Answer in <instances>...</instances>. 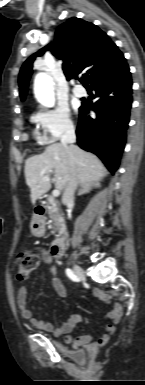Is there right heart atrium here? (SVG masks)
<instances>
[{
    "instance_id": "d8ad5b80",
    "label": "right heart atrium",
    "mask_w": 145,
    "mask_h": 385,
    "mask_svg": "<svg viewBox=\"0 0 145 385\" xmlns=\"http://www.w3.org/2000/svg\"><path fill=\"white\" fill-rule=\"evenodd\" d=\"M33 119L41 130L42 140L46 143L56 142L75 129L70 110L65 104L40 108Z\"/></svg>"
}]
</instances>
